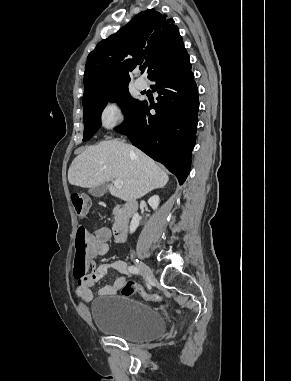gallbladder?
Instances as JSON below:
<instances>
[{
    "label": "gallbladder",
    "mask_w": 291,
    "mask_h": 381,
    "mask_svg": "<svg viewBox=\"0 0 291 381\" xmlns=\"http://www.w3.org/2000/svg\"><path fill=\"white\" fill-rule=\"evenodd\" d=\"M106 189H107V184L103 183L97 187H94V188H91L89 190V193L92 195V196H95V197H101L104 195V193L106 192Z\"/></svg>",
    "instance_id": "obj_1"
}]
</instances>
